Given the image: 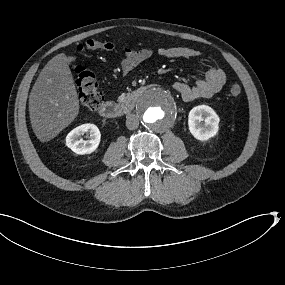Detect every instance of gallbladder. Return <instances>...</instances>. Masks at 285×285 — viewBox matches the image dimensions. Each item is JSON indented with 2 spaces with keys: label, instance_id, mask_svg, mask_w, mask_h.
<instances>
[{
  "label": "gallbladder",
  "instance_id": "obj_1",
  "mask_svg": "<svg viewBox=\"0 0 285 285\" xmlns=\"http://www.w3.org/2000/svg\"><path fill=\"white\" fill-rule=\"evenodd\" d=\"M75 60V57H70L69 58V61H74Z\"/></svg>",
  "mask_w": 285,
  "mask_h": 285
}]
</instances>
